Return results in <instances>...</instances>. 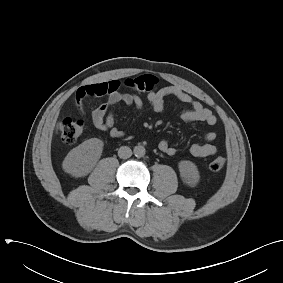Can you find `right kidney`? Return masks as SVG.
Instances as JSON below:
<instances>
[{"instance_id": "right-kidney-1", "label": "right kidney", "mask_w": 283, "mask_h": 283, "mask_svg": "<svg viewBox=\"0 0 283 283\" xmlns=\"http://www.w3.org/2000/svg\"><path fill=\"white\" fill-rule=\"evenodd\" d=\"M103 142L97 138L84 141L73 148L63 161V169L74 177L87 175L100 159Z\"/></svg>"}]
</instances>
